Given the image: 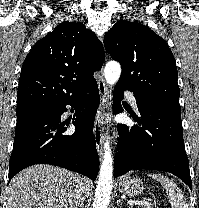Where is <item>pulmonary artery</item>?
Segmentation results:
<instances>
[{
  "instance_id": "e3ab8cb5",
  "label": "pulmonary artery",
  "mask_w": 199,
  "mask_h": 208,
  "mask_svg": "<svg viewBox=\"0 0 199 208\" xmlns=\"http://www.w3.org/2000/svg\"><path fill=\"white\" fill-rule=\"evenodd\" d=\"M125 96H126L127 100L131 103V105H132L135 109H137V101H136V97L134 96V94L131 93V92H129V91H127V92L125 93Z\"/></svg>"
}]
</instances>
